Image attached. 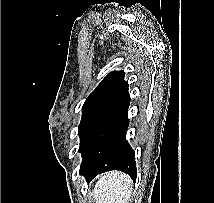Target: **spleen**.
<instances>
[{"instance_id":"obj_1","label":"spleen","mask_w":214,"mask_h":203,"mask_svg":"<svg viewBox=\"0 0 214 203\" xmlns=\"http://www.w3.org/2000/svg\"><path fill=\"white\" fill-rule=\"evenodd\" d=\"M132 180L120 172H109L98 178L93 190L95 203H129Z\"/></svg>"}]
</instances>
